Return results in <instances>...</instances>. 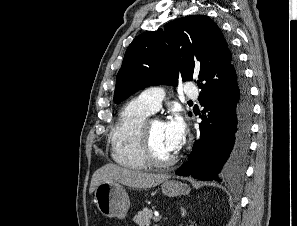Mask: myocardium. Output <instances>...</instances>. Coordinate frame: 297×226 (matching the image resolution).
Segmentation results:
<instances>
[{
	"label": "myocardium",
	"mask_w": 297,
	"mask_h": 226,
	"mask_svg": "<svg viewBox=\"0 0 297 226\" xmlns=\"http://www.w3.org/2000/svg\"><path fill=\"white\" fill-rule=\"evenodd\" d=\"M156 119H146L139 130V142L142 155L144 156L146 163L153 167H168L175 164L179 158L178 153H174L172 156L166 159L159 158L153 151L150 139V125Z\"/></svg>",
	"instance_id": "1"
}]
</instances>
